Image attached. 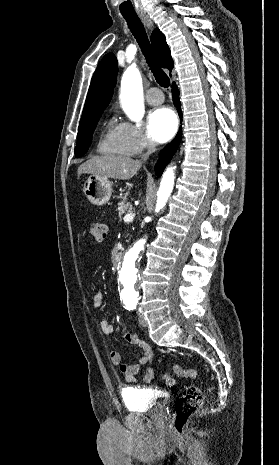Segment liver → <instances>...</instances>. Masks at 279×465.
<instances>
[{"mask_svg":"<svg viewBox=\"0 0 279 465\" xmlns=\"http://www.w3.org/2000/svg\"><path fill=\"white\" fill-rule=\"evenodd\" d=\"M142 163L130 157L117 155L94 156L78 168V177L83 173L112 178L128 180L140 169Z\"/></svg>","mask_w":279,"mask_h":465,"instance_id":"1","label":"liver"}]
</instances>
